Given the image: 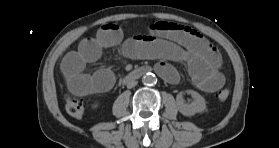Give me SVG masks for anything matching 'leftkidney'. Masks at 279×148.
<instances>
[{"instance_id": "left-kidney-1", "label": "left kidney", "mask_w": 279, "mask_h": 148, "mask_svg": "<svg viewBox=\"0 0 279 148\" xmlns=\"http://www.w3.org/2000/svg\"><path fill=\"white\" fill-rule=\"evenodd\" d=\"M193 97L191 103H184L183 93L180 92L176 97L177 108L184 116H193L196 113L203 112L206 109L205 99L196 91H187Z\"/></svg>"}]
</instances>
